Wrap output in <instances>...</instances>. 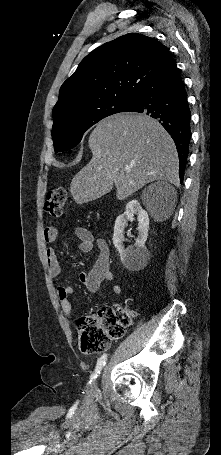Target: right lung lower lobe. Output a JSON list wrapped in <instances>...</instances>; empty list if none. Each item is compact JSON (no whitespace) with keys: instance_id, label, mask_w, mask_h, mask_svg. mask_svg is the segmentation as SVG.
<instances>
[{"instance_id":"98d812e1","label":"right lung lower lobe","mask_w":221,"mask_h":455,"mask_svg":"<svg viewBox=\"0 0 221 455\" xmlns=\"http://www.w3.org/2000/svg\"><path fill=\"white\" fill-rule=\"evenodd\" d=\"M123 112L147 114L162 124L175 142L182 182L191 140V114L187 93L171 54Z\"/></svg>"}]
</instances>
